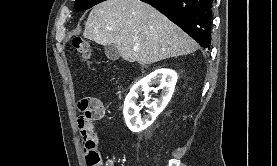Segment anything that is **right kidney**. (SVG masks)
Listing matches in <instances>:
<instances>
[{"label":"right kidney","mask_w":277,"mask_h":166,"mask_svg":"<svg viewBox=\"0 0 277 166\" xmlns=\"http://www.w3.org/2000/svg\"><path fill=\"white\" fill-rule=\"evenodd\" d=\"M177 76L176 74L168 69H158L146 76L139 82H137L128 93L125 102H124V118L128 128L132 132H141L142 130L149 127L156 117L164 110L170 101ZM159 83V89H162L161 97L152 103H149V92L151 91V85ZM144 92L145 95V106L150 109L147 116L141 118L138 115L140 107L136 105L138 94Z\"/></svg>","instance_id":"obj_1"}]
</instances>
